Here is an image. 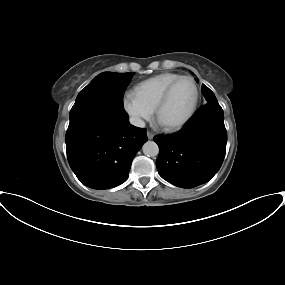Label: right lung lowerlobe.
Instances as JSON below:
<instances>
[{
	"label": "right lung lower lobe",
	"mask_w": 285,
	"mask_h": 285,
	"mask_svg": "<svg viewBox=\"0 0 285 285\" xmlns=\"http://www.w3.org/2000/svg\"><path fill=\"white\" fill-rule=\"evenodd\" d=\"M146 141V130L129 124L125 111L103 106L91 107L71 118L65 137L71 169L93 189L122 184Z\"/></svg>",
	"instance_id": "98d812e1"
}]
</instances>
